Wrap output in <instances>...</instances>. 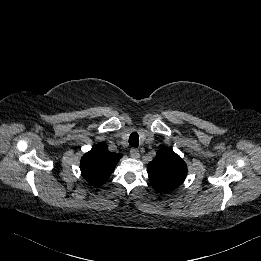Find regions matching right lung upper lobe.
Wrapping results in <instances>:
<instances>
[{
  "label": "right lung upper lobe",
  "instance_id": "1",
  "mask_svg": "<svg viewBox=\"0 0 261 261\" xmlns=\"http://www.w3.org/2000/svg\"><path fill=\"white\" fill-rule=\"evenodd\" d=\"M121 157V154L109 152L107 145L101 143L82 157V175L89 183L100 186L108 180Z\"/></svg>",
  "mask_w": 261,
  "mask_h": 261
}]
</instances>
